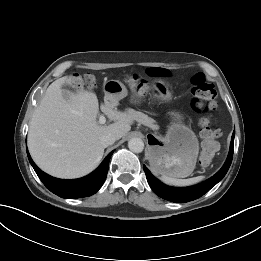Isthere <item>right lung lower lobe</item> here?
I'll return each mask as SVG.
<instances>
[{
  "instance_id": "obj_1",
  "label": "right lung lower lobe",
  "mask_w": 261,
  "mask_h": 261,
  "mask_svg": "<svg viewBox=\"0 0 261 261\" xmlns=\"http://www.w3.org/2000/svg\"><path fill=\"white\" fill-rule=\"evenodd\" d=\"M112 153H109L101 165L91 174L79 179L63 180L51 177L41 171L27 151L28 159L43 184L54 194L68 199L91 196L101 188L107 176Z\"/></svg>"
}]
</instances>
